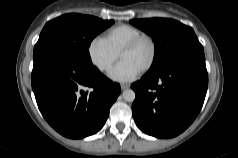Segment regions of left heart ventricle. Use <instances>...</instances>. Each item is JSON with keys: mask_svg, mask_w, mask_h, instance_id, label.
I'll return each mask as SVG.
<instances>
[{"mask_svg": "<svg viewBox=\"0 0 238 158\" xmlns=\"http://www.w3.org/2000/svg\"><path fill=\"white\" fill-rule=\"evenodd\" d=\"M150 56L151 46L147 41H143L133 50L122 54L121 60L128 61L139 69H141L147 64L150 59Z\"/></svg>", "mask_w": 238, "mask_h": 158, "instance_id": "1", "label": "left heart ventricle"}]
</instances>
